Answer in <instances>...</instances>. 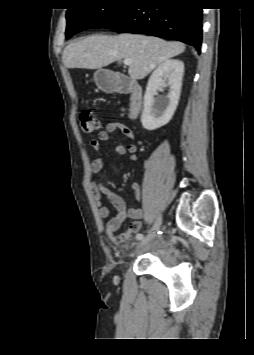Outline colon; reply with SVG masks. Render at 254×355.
<instances>
[{
  "mask_svg": "<svg viewBox=\"0 0 254 355\" xmlns=\"http://www.w3.org/2000/svg\"><path fill=\"white\" fill-rule=\"evenodd\" d=\"M80 124L85 132H93L100 126L97 115L89 109H86L80 113Z\"/></svg>",
  "mask_w": 254,
  "mask_h": 355,
  "instance_id": "1",
  "label": "colon"
}]
</instances>
